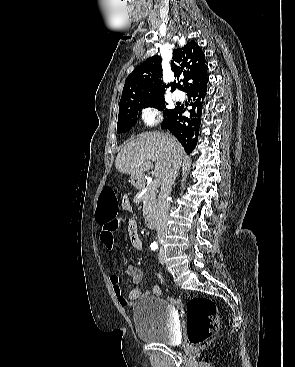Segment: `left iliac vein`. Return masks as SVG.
<instances>
[{
	"mask_svg": "<svg viewBox=\"0 0 295 367\" xmlns=\"http://www.w3.org/2000/svg\"><path fill=\"white\" fill-rule=\"evenodd\" d=\"M159 262H160L161 264H164V263H165V253H164V251H163V250H161V251L159 252Z\"/></svg>",
	"mask_w": 295,
	"mask_h": 367,
	"instance_id": "left-iliac-vein-1",
	"label": "left iliac vein"
}]
</instances>
